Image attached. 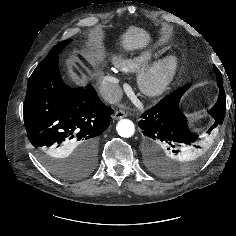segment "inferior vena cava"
Instances as JSON below:
<instances>
[{"label": "inferior vena cava", "mask_w": 236, "mask_h": 236, "mask_svg": "<svg viewBox=\"0 0 236 236\" xmlns=\"http://www.w3.org/2000/svg\"><path fill=\"white\" fill-rule=\"evenodd\" d=\"M102 96L103 99L109 104H116L121 100L123 96V91L120 86L114 85L108 90L104 91Z\"/></svg>", "instance_id": "602c4592"}]
</instances>
